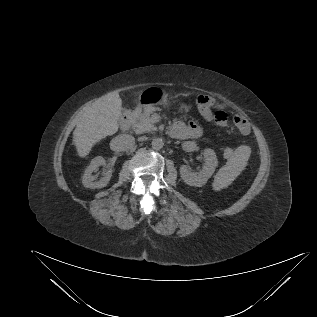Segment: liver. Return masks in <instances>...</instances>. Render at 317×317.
<instances>
[{
	"label": "liver",
	"mask_w": 317,
	"mask_h": 317,
	"mask_svg": "<svg viewBox=\"0 0 317 317\" xmlns=\"http://www.w3.org/2000/svg\"><path fill=\"white\" fill-rule=\"evenodd\" d=\"M122 109L119 93L113 91L82 110L73 132V144L80 157H86L97 142L118 131Z\"/></svg>",
	"instance_id": "1"
}]
</instances>
